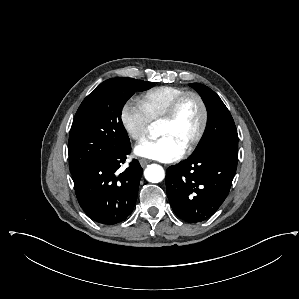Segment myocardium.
Wrapping results in <instances>:
<instances>
[{
  "label": "myocardium",
  "mask_w": 299,
  "mask_h": 299,
  "mask_svg": "<svg viewBox=\"0 0 299 299\" xmlns=\"http://www.w3.org/2000/svg\"><path fill=\"white\" fill-rule=\"evenodd\" d=\"M189 98H194L199 103L200 108H201V122H200V126H199V129H198L196 135L194 136V138L189 142V144L184 149L185 154H189L190 152H192L199 145V143L201 142V140H202V138L205 134L206 128H207L208 109H207L206 103H205L204 99L202 98V96L200 94H198L197 92H194V91L184 92L183 94L178 96L172 102V104L170 105L168 111L166 112V114L160 120V123L174 122L176 120L177 116H178V113H179L182 105Z\"/></svg>",
  "instance_id": "myocardium-1"
}]
</instances>
